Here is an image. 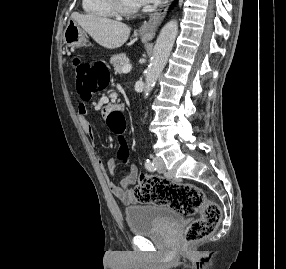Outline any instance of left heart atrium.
Returning <instances> with one entry per match:
<instances>
[{
	"label": "left heart atrium",
	"instance_id": "left-heart-atrium-1",
	"mask_svg": "<svg viewBox=\"0 0 286 269\" xmlns=\"http://www.w3.org/2000/svg\"><path fill=\"white\" fill-rule=\"evenodd\" d=\"M161 0H137L139 5H156Z\"/></svg>",
	"mask_w": 286,
	"mask_h": 269
}]
</instances>
